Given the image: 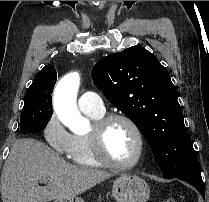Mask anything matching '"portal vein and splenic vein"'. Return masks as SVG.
Here are the masks:
<instances>
[{
  "label": "portal vein and splenic vein",
  "mask_w": 209,
  "mask_h": 202,
  "mask_svg": "<svg viewBox=\"0 0 209 202\" xmlns=\"http://www.w3.org/2000/svg\"><path fill=\"white\" fill-rule=\"evenodd\" d=\"M42 180H43L44 182H47L48 179H47V178H42Z\"/></svg>",
  "instance_id": "portal-vein-and-splenic-vein-1"
}]
</instances>
